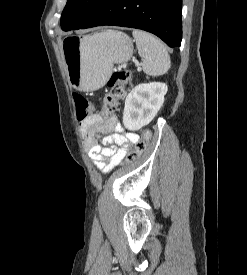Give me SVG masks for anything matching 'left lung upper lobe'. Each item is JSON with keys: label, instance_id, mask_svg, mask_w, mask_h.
<instances>
[{"label": "left lung upper lobe", "instance_id": "left-lung-upper-lobe-1", "mask_svg": "<svg viewBox=\"0 0 247 275\" xmlns=\"http://www.w3.org/2000/svg\"><path fill=\"white\" fill-rule=\"evenodd\" d=\"M104 0H67L62 12L61 26L64 31L81 27Z\"/></svg>", "mask_w": 247, "mask_h": 275}]
</instances>
